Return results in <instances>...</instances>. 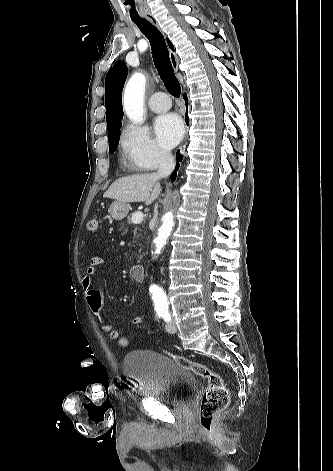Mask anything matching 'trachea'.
I'll use <instances>...</instances> for the list:
<instances>
[{"label": "trachea", "mask_w": 333, "mask_h": 471, "mask_svg": "<svg viewBox=\"0 0 333 471\" xmlns=\"http://www.w3.org/2000/svg\"><path fill=\"white\" fill-rule=\"evenodd\" d=\"M133 22L150 42L153 61L164 86L174 97H180V83L175 76L163 35L146 19L133 20Z\"/></svg>", "instance_id": "1"}]
</instances>
